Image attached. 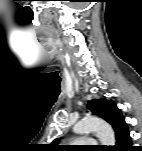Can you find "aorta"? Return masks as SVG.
<instances>
[{"label":"aorta","instance_id":"762f6f07","mask_svg":"<svg viewBox=\"0 0 142 151\" xmlns=\"http://www.w3.org/2000/svg\"><path fill=\"white\" fill-rule=\"evenodd\" d=\"M73 131L76 134L96 132L102 145L115 146L116 143L112 127L99 118H84L74 125Z\"/></svg>","mask_w":142,"mask_h":151}]
</instances>
